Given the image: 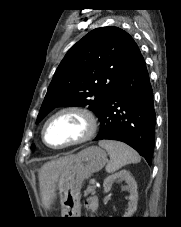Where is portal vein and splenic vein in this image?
I'll return each mask as SVG.
<instances>
[{
    "mask_svg": "<svg viewBox=\"0 0 181 227\" xmlns=\"http://www.w3.org/2000/svg\"><path fill=\"white\" fill-rule=\"evenodd\" d=\"M90 183H91L92 185H95L96 180H95V179H91V180H90Z\"/></svg>",
    "mask_w": 181,
    "mask_h": 227,
    "instance_id": "18ae733b",
    "label": "portal vein and splenic vein"
}]
</instances>
